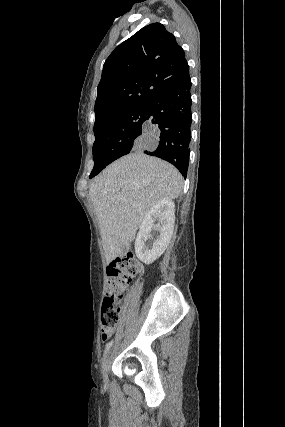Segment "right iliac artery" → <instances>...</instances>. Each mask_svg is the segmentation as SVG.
<instances>
[{
  "label": "right iliac artery",
  "mask_w": 285,
  "mask_h": 427,
  "mask_svg": "<svg viewBox=\"0 0 285 427\" xmlns=\"http://www.w3.org/2000/svg\"><path fill=\"white\" fill-rule=\"evenodd\" d=\"M112 344H113V342L112 341H110V342H108L107 344H106V347H105V350H104V357L106 356V354H107V352L109 351V349L111 348V346H112ZM104 359V358H103Z\"/></svg>",
  "instance_id": "82829eb1"
}]
</instances>
